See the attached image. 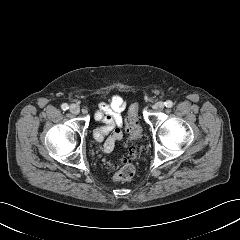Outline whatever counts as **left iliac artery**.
Segmentation results:
<instances>
[{
    "label": "left iliac artery",
    "instance_id": "44dca946",
    "mask_svg": "<svg viewBox=\"0 0 240 240\" xmlns=\"http://www.w3.org/2000/svg\"><path fill=\"white\" fill-rule=\"evenodd\" d=\"M164 104L167 108H171L173 106V102L170 100H167Z\"/></svg>",
    "mask_w": 240,
    "mask_h": 240
}]
</instances>
